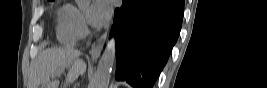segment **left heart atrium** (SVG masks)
<instances>
[{"label":"left heart atrium","mask_w":267,"mask_h":88,"mask_svg":"<svg viewBox=\"0 0 267 88\" xmlns=\"http://www.w3.org/2000/svg\"><path fill=\"white\" fill-rule=\"evenodd\" d=\"M111 14L109 3L105 0L94 1L88 10L87 18L91 25L101 27L105 25Z\"/></svg>","instance_id":"39dd6f15"}]
</instances>
